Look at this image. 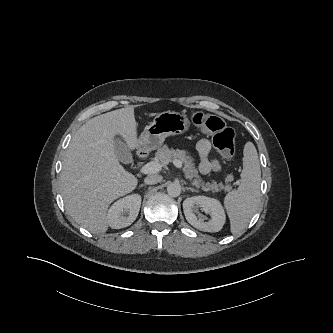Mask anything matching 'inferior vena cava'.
Masks as SVG:
<instances>
[{"label":"inferior vena cava","mask_w":333,"mask_h":333,"mask_svg":"<svg viewBox=\"0 0 333 333\" xmlns=\"http://www.w3.org/2000/svg\"><path fill=\"white\" fill-rule=\"evenodd\" d=\"M161 175H150L144 179L145 184L153 185L162 181Z\"/></svg>","instance_id":"602c4592"}]
</instances>
